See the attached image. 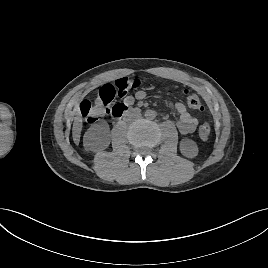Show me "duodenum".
<instances>
[{"label": "duodenum", "instance_id": "obj_1", "mask_svg": "<svg viewBox=\"0 0 268 268\" xmlns=\"http://www.w3.org/2000/svg\"><path fill=\"white\" fill-rule=\"evenodd\" d=\"M136 109L126 105V104H117L112 107L110 114L113 118L119 119L130 112H135Z\"/></svg>", "mask_w": 268, "mask_h": 268}]
</instances>
